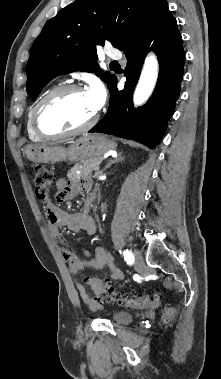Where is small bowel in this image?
<instances>
[{"instance_id": "c3829d8e", "label": "small bowel", "mask_w": 221, "mask_h": 379, "mask_svg": "<svg viewBox=\"0 0 221 379\" xmlns=\"http://www.w3.org/2000/svg\"><path fill=\"white\" fill-rule=\"evenodd\" d=\"M56 186V198L59 202H64L73 199L78 193L87 191L90 187V182L88 180L72 182L61 178L57 181ZM43 207L47 217L49 233L58 241L62 257L69 265L73 275H77L87 269L101 270L107 268L112 279L120 280L124 277L111 255L103 247H96L93 255L86 251L87 258L81 259L67 247L65 241L61 238L60 228L63 226L72 232L83 231L87 236L93 237L96 233V224L87 212L69 214L54 205L50 200L43 203ZM74 283L82 300L89 307L97 308L99 304L89 297L82 283L77 278H75Z\"/></svg>"}]
</instances>
